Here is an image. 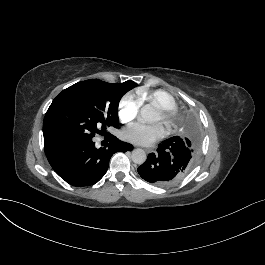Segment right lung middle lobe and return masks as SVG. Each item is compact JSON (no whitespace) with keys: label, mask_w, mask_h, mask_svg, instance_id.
Returning <instances> with one entry per match:
<instances>
[{"label":"right lung middle lobe","mask_w":265,"mask_h":265,"mask_svg":"<svg viewBox=\"0 0 265 265\" xmlns=\"http://www.w3.org/2000/svg\"><path fill=\"white\" fill-rule=\"evenodd\" d=\"M98 79L78 82L63 90L47 110L43 123L44 147L73 139H92L107 127H118L121 97L136 87Z\"/></svg>","instance_id":"1"}]
</instances>
